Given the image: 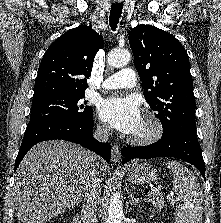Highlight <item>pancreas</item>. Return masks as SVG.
<instances>
[{
    "instance_id": "cf45deb5",
    "label": "pancreas",
    "mask_w": 221,
    "mask_h": 223,
    "mask_svg": "<svg viewBox=\"0 0 221 223\" xmlns=\"http://www.w3.org/2000/svg\"><path fill=\"white\" fill-rule=\"evenodd\" d=\"M150 202L159 210L164 207L165 199L164 196L160 193H152L150 196Z\"/></svg>"
}]
</instances>
